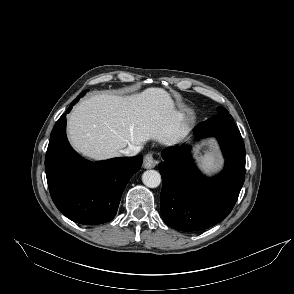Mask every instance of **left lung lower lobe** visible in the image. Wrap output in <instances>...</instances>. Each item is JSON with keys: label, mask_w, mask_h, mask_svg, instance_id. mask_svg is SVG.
<instances>
[{"label": "left lung lower lobe", "mask_w": 294, "mask_h": 294, "mask_svg": "<svg viewBox=\"0 0 294 294\" xmlns=\"http://www.w3.org/2000/svg\"><path fill=\"white\" fill-rule=\"evenodd\" d=\"M197 138L215 136L225 157L217 177L200 174L186 147L162 151L161 214L180 231L207 229L224 220L234 207L245 180V146L230 114H219L195 127Z\"/></svg>", "instance_id": "left-lung-lower-lobe-1"}]
</instances>
